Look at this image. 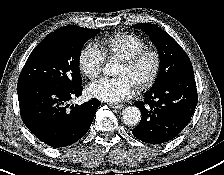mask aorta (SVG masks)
Listing matches in <instances>:
<instances>
[{
  "mask_svg": "<svg viewBox=\"0 0 224 175\" xmlns=\"http://www.w3.org/2000/svg\"><path fill=\"white\" fill-rule=\"evenodd\" d=\"M118 63L116 60H110L104 67L105 74L114 76L117 74ZM141 120V112L136 106H128L122 111V121L128 126L137 125Z\"/></svg>",
  "mask_w": 224,
  "mask_h": 175,
  "instance_id": "762f6f07",
  "label": "aorta"
}]
</instances>
